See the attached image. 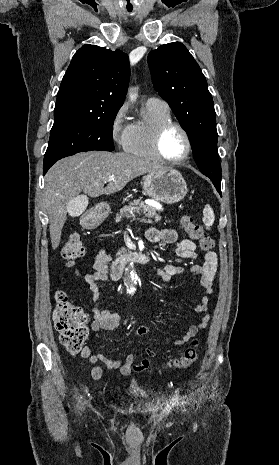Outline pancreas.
Segmentation results:
<instances>
[{"label": "pancreas", "instance_id": "pancreas-1", "mask_svg": "<svg viewBox=\"0 0 279 465\" xmlns=\"http://www.w3.org/2000/svg\"><path fill=\"white\" fill-rule=\"evenodd\" d=\"M158 209L140 202V200H135L130 203L128 206H124L120 209L119 213L116 214L115 221L119 223L124 218H130L135 214H144L143 220L146 223H152L161 221V216L157 213Z\"/></svg>", "mask_w": 279, "mask_h": 465}]
</instances>
